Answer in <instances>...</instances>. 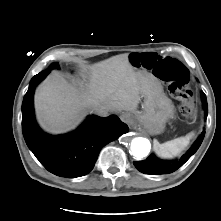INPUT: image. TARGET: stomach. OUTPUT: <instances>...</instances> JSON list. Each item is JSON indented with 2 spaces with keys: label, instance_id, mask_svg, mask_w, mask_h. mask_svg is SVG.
<instances>
[{
  "label": "stomach",
  "instance_id": "0dacf381",
  "mask_svg": "<svg viewBox=\"0 0 221 221\" xmlns=\"http://www.w3.org/2000/svg\"><path fill=\"white\" fill-rule=\"evenodd\" d=\"M132 58L133 54L129 56V61ZM142 97L144 98L142 110L132 112L135 123L150 134L162 133L166 122L174 114V105L165 95L161 82L153 76H148Z\"/></svg>",
  "mask_w": 221,
  "mask_h": 221
}]
</instances>
